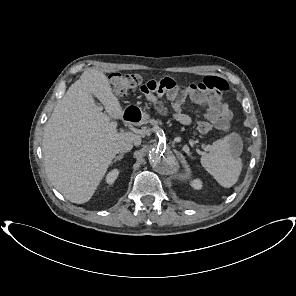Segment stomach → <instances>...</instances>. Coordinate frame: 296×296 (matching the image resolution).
I'll return each mask as SVG.
<instances>
[{"label":"stomach","mask_w":296,"mask_h":296,"mask_svg":"<svg viewBox=\"0 0 296 296\" xmlns=\"http://www.w3.org/2000/svg\"><path fill=\"white\" fill-rule=\"evenodd\" d=\"M140 114H141V122H146L149 119L148 114H146L145 112L140 110Z\"/></svg>","instance_id":"obj_1"}]
</instances>
